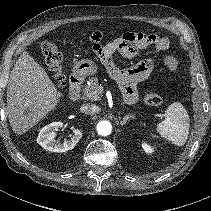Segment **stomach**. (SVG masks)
Here are the masks:
<instances>
[{
	"instance_id": "0dacf381",
	"label": "stomach",
	"mask_w": 211,
	"mask_h": 211,
	"mask_svg": "<svg viewBox=\"0 0 211 211\" xmlns=\"http://www.w3.org/2000/svg\"><path fill=\"white\" fill-rule=\"evenodd\" d=\"M74 72L80 77L94 75L98 73V66L92 60L83 59L75 64Z\"/></svg>"
}]
</instances>
